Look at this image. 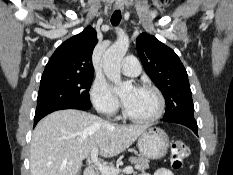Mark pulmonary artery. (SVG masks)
I'll return each instance as SVG.
<instances>
[{
  "label": "pulmonary artery",
  "instance_id": "pulmonary-artery-1",
  "mask_svg": "<svg viewBox=\"0 0 233 175\" xmlns=\"http://www.w3.org/2000/svg\"><path fill=\"white\" fill-rule=\"evenodd\" d=\"M122 73L126 76H137L140 71V63L134 56H127L121 65Z\"/></svg>",
  "mask_w": 233,
  "mask_h": 175
}]
</instances>
